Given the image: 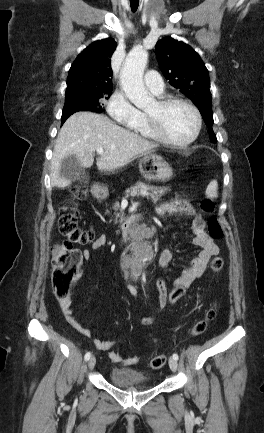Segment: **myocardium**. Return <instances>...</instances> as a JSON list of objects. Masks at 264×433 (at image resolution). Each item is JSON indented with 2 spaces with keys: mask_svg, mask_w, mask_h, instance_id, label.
Listing matches in <instances>:
<instances>
[{
  "mask_svg": "<svg viewBox=\"0 0 264 433\" xmlns=\"http://www.w3.org/2000/svg\"><path fill=\"white\" fill-rule=\"evenodd\" d=\"M156 104H157L158 109L160 111H163V110L167 109L168 107L175 105V104H182L192 111V113L195 117V120H196V126H195V130H194L193 134L185 141H176V140H173L172 138H170L166 134L159 115L150 114V113L146 112L145 115H146L149 127L157 139H159L160 141H162L165 144H168L170 146H174L177 148L188 147L197 140V138L200 135L201 129H202V116H201V113L198 110V108L193 103H191L190 101H188L184 98H180V97H167V98H162V99L157 100Z\"/></svg>",
  "mask_w": 264,
  "mask_h": 433,
  "instance_id": "myocardium-1",
  "label": "myocardium"
}]
</instances>
